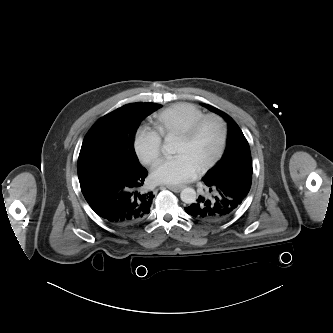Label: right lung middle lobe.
I'll use <instances>...</instances> for the list:
<instances>
[{
  "label": "right lung middle lobe",
  "instance_id": "dd1d6c3e",
  "mask_svg": "<svg viewBox=\"0 0 333 333\" xmlns=\"http://www.w3.org/2000/svg\"><path fill=\"white\" fill-rule=\"evenodd\" d=\"M161 105L132 103L100 118L85 136L78 158L81 163H99L126 169L142 168L133 136L140 122Z\"/></svg>",
  "mask_w": 333,
  "mask_h": 333
}]
</instances>
